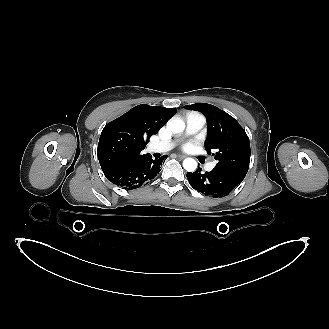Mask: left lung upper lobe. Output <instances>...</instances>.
Returning <instances> with one entry per match:
<instances>
[{
	"instance_id": "left-lung-upper-lobe-1",
	"label": "left lung upper lobe",
	"mask_w": 329,
	"mask_h": 329,
	"mask_svg": "<svg viewBox=\"0 0 329 329\" xmlns=\"http://www.w3.org/2000/svg\"><path fill=\"white\" fill-rule=\"evenodd\" d=\"M201 112L207 119L205 149L212 153L217 164L214 169L243 180L250 163V142L245 130L228 113L206 103L185 106Z\"/></svg>"
}]
</instances>
